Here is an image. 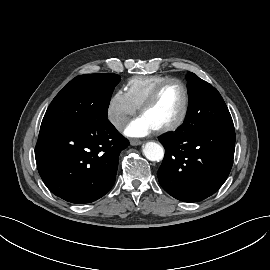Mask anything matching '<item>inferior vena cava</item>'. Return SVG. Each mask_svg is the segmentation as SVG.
Segmentation results:
<instances>
[{
  "instance_id": "obj_1",
  "label": "inferior vena cava",
  "mask_w": 270,
  "mask_h": 270,
  "mask_svg": "<svg viewBox=\"0 0 270 270\" xmlns=\"http://www.w3.org/2000/svg\"><path fill=\"white\" fill-rule=\"evenodd\" d=\"M127 123V119L126 118H122L116 125L118 128H121L123 126H125Z\"/></svg>"
}]
</instances>
